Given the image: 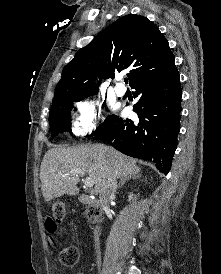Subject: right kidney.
Returning a JSON list of instances; mask_svg holds the SVG:
<instances>
[{"instance_id": "right-kidney-1", "label": "right kidney", "mask_w": 221, "mask_h": 274, "mask_svg": "<svg viewBox=\"0 0 221 274\" xmlns=\"http://www.w3.org/2000/svg\"><path fill=\"white\" fill-rule=\"evenodd\" d=\"M132 197H133V194L131 193V194L129 195V201L132 199Z\"/></svg>"}]
</instances>
